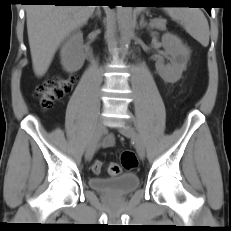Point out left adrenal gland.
Instances as JSON below:
<instances>
[{"label": "left adrenal gland", "mask_w": 231, "mask_h": 231, "mask_svg": "<svg viewBox=\"0 0 231 231\" xmlns=\"http://www.w3.org/2000/svg\"><path fill=\"white\" fill-rule=\"evenodd\" d=\"M139 26H140V28L147 27L148 29H150V25H148L147 22L144 20V16L143 15H142V17L140 19Z\"/></svg>", "instance_id": "obj_1"}]
</instances>
